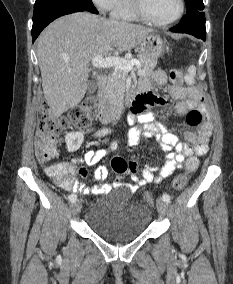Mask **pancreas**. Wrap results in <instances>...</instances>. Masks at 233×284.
Segmentation results:
<instances>
[{
    "label": "pancreas",
    "mask_w": 233,
    "mask_h": 284,
    "mask_svg": "<svg viewBox=\"0 0 233 284\" xmlns=\"http://www.w3.org/2000/svg\"><path fill=\"white\" fill-rule=\"evenodd\" d=\"M131 60V57L125 58ZM141 66L137 68L140 75H149L152 73L156 62L148 58L138 55ZM127 72L117 68L110 76L108 85L104 91V99L108 102L110 107H119L124 103L125 98V81Z\"/></svg>",
    "instance_id": "obj_1"
}]
</instances>
